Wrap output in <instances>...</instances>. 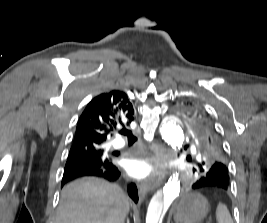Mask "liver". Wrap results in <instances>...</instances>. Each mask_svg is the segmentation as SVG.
Segmentation results:
<instances>
[{
    "mask_svg": "<svg viewBox=\"0 0 267 223\" xmlns=\"http://www.w3.org/2000/svg\"><path fill=\"white\" fill-rule=\"evenodd\" d=\"M129 208V198L119 186L82 178L62 189L55 223H124Z\"/></svg>",
    "mask_w": 267,
    "mask_h": 223,
    "instance_id": "1",
    "label": "liver"
}]
</instances>
